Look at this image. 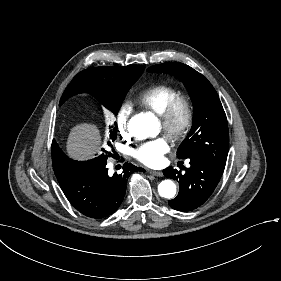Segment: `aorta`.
Returning <instances> with one entry per match:
<instances>
[{
  "instance_id": "1",
  "label": "aorta",
  "mask_w": 281,
  "mask_h": 281,
  "mask_svg": "<svg viewBox=\"0 0 281 281\" xmlns=\"http://www.w3.org/2000/svg\"><path fill=\"white\" fill-rule=\"evenodd\" d=\"M130 133L137 139H146L159 133V124L150 113H141L131 118L129 123ZM176 184L172 180H164L158 185L161 197L172 199L176 195Z\"/></svg>"
}]
</instances>
